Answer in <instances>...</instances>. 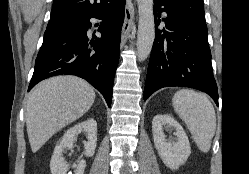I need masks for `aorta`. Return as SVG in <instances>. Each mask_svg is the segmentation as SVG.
<instances>
[{"label":"aorta","mask_w":249,"mask_h":174,"mask_svg":"<svg viewBox=\"0 0 249 174\" xmlns=\"http://www.w3.org/2000/svg\"><path fill=\"white\" fill-rule=\"evenodd\" d=\"M139 22L137 35V57L144 61L150 55L155 39L153 0H137Z\"/></svg>","instance_id":"obj_1"}]
</instances>
